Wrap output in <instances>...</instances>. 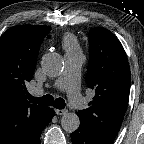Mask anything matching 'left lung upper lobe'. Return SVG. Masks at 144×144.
<instances>
[{"label": "left lung upper lobe", "instance_id": "left-lung-upper-lobe-1", "mask_svg": "<svg viewBox=\"0 0 144 144\" xmlns=\"http://www.w3.org/2000/svg\"><path fill=\"white\" fill-rule=\"evenodd\" d=\"M88 88L95 91L89 108L78 111L80 122L94 132L116 137L128 104L131 75L126 53L107 29L89 32Z\"/></svg>", "mask_w": 144, "mask_h": 144}]
</instances>
